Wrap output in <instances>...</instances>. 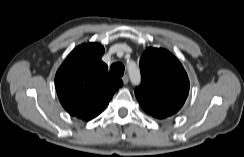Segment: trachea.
<instances>
[{"label": "trachea", "mask_w": 244, "mask_h": 157, "mask_svg": "<svg viewBox=\"0 0 244 157\" xmlns=\"http://www.w3.org/2000/svg\"><path fill=\"white\" fill-rule=\"evenodd\" d=\"M124 65L122 63H114L110 68V73L114 76L121 77L124 74Z\"/></svg>", "instance_id": "3493384b"}]
</instances>
